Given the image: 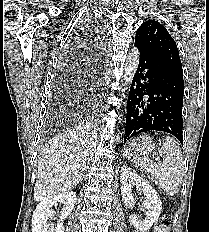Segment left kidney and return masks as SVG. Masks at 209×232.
Masks as SVG:
<instances>
[{"label":"left kidney","mask_w":209,"mask_h":232,"mask_svg":"<svg viewBox=\"0 0 209 232\" xmlns=\"http://www.w3.org/2000/svg\"><path fill=\"white\" fill-rule=\"evenodd\" d=\"M121 196L125 205H131L135 202L132 194V187L136 186L144 194L143 205L148 209L145 220L138 219L136 214L129 217V221L139 232H147L158 220L162 210V202L155 189L142 177L132 172L130 167L124 165L121 167Z\"/></svg>","instance_id":"obj_1"}]
</instances>
